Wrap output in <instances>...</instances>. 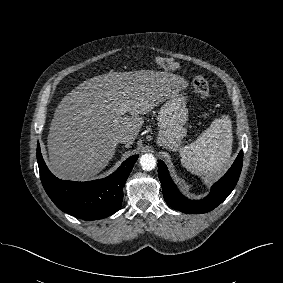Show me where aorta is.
Masks as SVG:
<instances>
[{
    "label": "aorta",
    "mask_w": 283,
    "mask_h": 283,
    "mask_svg": "<svg viewBox=\"0 0 283 283\" xmlns=\"http://www.w3.org/2000/svg\"><path fill=\"white\" fill-rule=\"evenodd\" d=\"M157 161L153 154L147 153L140 157V165L143 170L151 171L156 167Z\"/></svg>",
    "instance_id": "obj_1"
}]
</instances>
